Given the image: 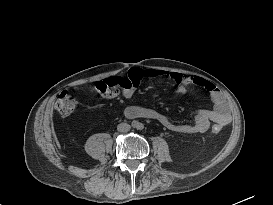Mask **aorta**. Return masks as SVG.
<instances>
[{"label":"aorta","instance_id":"1","mask_svg":"<svg viewBox=\"0 0 273 205\" xmlns=\"http://www.w3.org/2000/svg\"><path fill=\"white\" fill-rule=\"evenodd\" d=\"M133 126L134 128L141 129L143 127V124L138 121H134Z\"/></svg>","mask_w":273,"mask_h":205}]
</instances>
